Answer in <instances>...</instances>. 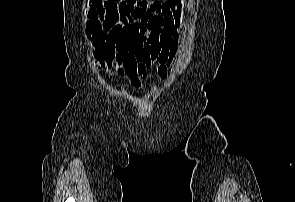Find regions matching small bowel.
<instances>
[{"instance_id": "c3829d8e", "label": "small bowel", "mask_w": 295, "mask_h": 202, "mask_svg": "<svg viewBox=\"0 0 295 202\" xmlns=\"http://www.w3.org/2000/svg\"><path fill=\"white\" fill-rule=\"evenodd\" d=\"M183 5L184 0H137L128 13L111 15L101 0H88L92 21L105 18L111 22L97 56L114 62L117 71L136 87L150 76L148 69L154 61L161 63L159 73L164 76V64L175 54Z\"/></svg>"}]
</instances>
